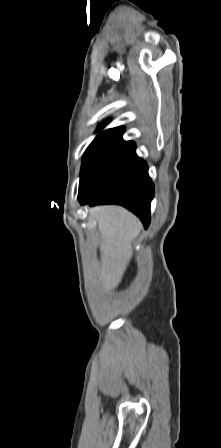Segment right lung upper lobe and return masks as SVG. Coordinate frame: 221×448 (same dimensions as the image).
<instances>
[{"instance_id":"1","label":"right lung upper lobe","mask_w":221,"mask_h":448,"mask_svg":"<svg viewBox=\"0 0 221 448\" xmlns=\"http://www.w3.org/2000/svg\"><path fill=\"white\" fill-rule=\"evenodd\" d=\"M108 121H105L102 125L98 127V130L102 129ZM124 132L123 127H116L112 129L105 130L101 132L96 138L92 141L88 148L100 147V148H118L125 141L122 139V134Z\"/></svg>"}]
</instances>
